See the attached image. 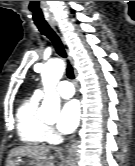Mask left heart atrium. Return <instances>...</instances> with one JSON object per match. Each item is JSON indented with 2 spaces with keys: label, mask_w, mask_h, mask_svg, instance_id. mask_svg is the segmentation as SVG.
I'll return each mask as SVG.
<instances>
[{
  "label": "left heart atrium",
  "mask_w": 135,
  "mask_h": 166,
  "mask_svg": "<svg viewBox=\"0 0 135 166\" xmlns=\"http://www.w3.org/2000/svg\"><path fill=\"white\" fill-rule=\"evenodd\" d=\"M80 118V106L77 100L64 103L59 114L57 127L64 134L71 133L77 127Z\"/></svg>",
  "instance_id": "left-heart-atrium-1"
}]
</instances>
